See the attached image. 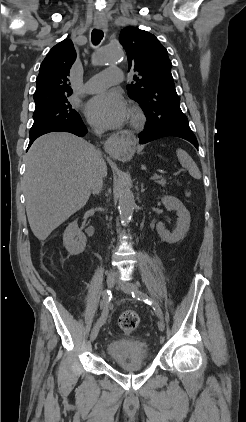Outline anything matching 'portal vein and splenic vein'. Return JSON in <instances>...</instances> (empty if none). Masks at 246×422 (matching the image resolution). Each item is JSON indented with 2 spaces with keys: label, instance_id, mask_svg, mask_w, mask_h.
<instances>
[{
  "label": "portal vein and splenic vein",
  "instance_id": "1",
  "mask_svg": "<svg viewBox=\"0 0 246 422\" xmlns=\"http://www.w3.org/2000/svg\"><path fill=\"white\" fill-rule=\"evenodd\" d=\"M158 176H152V177H150V180H155L156 178H157Z\"/></svg>",
  "mask_w": 246,
  "mask_h": 422
}]
</instances>
